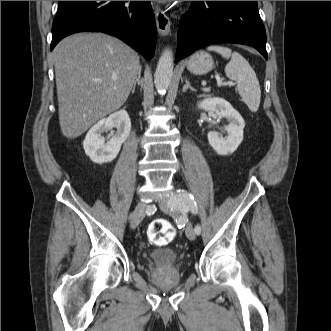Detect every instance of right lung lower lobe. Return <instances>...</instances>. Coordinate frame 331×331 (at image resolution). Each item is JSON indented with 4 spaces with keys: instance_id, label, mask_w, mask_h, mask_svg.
<instances>
[{
    "instance_id": "obj_1",
    "label": "right lung lower lobe",
    "mask_w": 331,
    "mask_h": 331,
    "mask_svg": "<svg viewBox=\"0 0 331 331\" xmlns=\"http://www.w3.org/2000/svg\"><path fill=\"white\" fill-rule=\"evenodd\" d=\"M82 31L113 35L147 59L153 57L156 24L150 1H59L51 50L64 37Z\"/></svg>"
}]
</instances>
